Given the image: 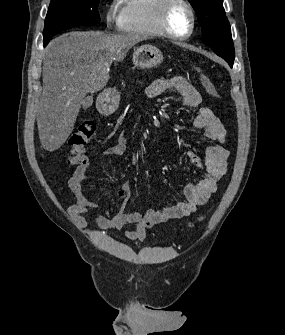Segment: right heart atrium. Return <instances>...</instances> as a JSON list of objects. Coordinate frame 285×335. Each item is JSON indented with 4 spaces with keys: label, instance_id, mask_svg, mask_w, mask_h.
Instances as JSON below:
<instances>
[{
    "label": "right heart atrium",
    "instance_id": "d8ad5b80",
    "mask_svg": "<svg viewBox=\"0 0 285 335\" xmlns=\"http://www.w3.org/2000/svg\"><path fill=\"white\" fill-rule=\"evenodd\" d=\"M103 16L106 24L112 25L117 20V11L114 8H107L103 11Z\"/></svg>",
    "mask_w": 285,
    "mask_h": 335
}]
</instances>
